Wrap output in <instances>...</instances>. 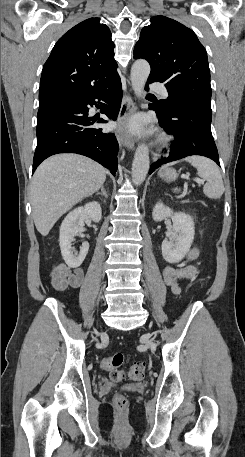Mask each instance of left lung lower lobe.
Masks as SVG:
<instances>
[{
  "label": "left lung lower lobe",
  "instance_id": "0a47b994",
  "mask_svg": "<svg viewBox=\"0 0 245 457\" xmlns=\"http://www.w3.org/2000/svg\"><path fill=\"white\" fill-rule=\"evenodd\" d=\"M152 82H156V80L148 78L146 90ZM149 108L156 111L159 123L165 131L175 137V140L171 142L169 156L154 162L149 174L162 164L192 155L208 157L220 165L218 151L211 133V111L187 107H177L174 111H168L161 108L158 103L150 104Z\"/></svg>",
  "mask_w": 245,
  "mask_h": 457
}]
</instances>
